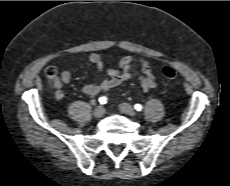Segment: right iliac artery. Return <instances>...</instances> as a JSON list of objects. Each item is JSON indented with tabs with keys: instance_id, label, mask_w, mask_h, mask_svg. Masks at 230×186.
<instances>
[{
	"instance_id": "obj_1",
	"label": "right iliac artery",
	"mask_w": 230,
	"mask_h": 186,
	"mask_svg": "<svg viewBox=\"0 0 230 186\" xmlns=\"http://www.w3.org/2000/svg\"><path fill=\"white\" fill-rule=\"evenodd\" d=\"M107 100H108V99H107V97H105V96H102V97L99 98V102H100V104H102V105H103V104H106V103H107Z\"/></svg>"
}]
</instances>
